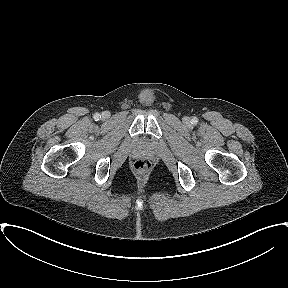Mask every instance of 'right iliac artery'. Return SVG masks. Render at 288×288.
Listing matches in <instances>:
<instances>
[{"label": "right iliac artery", "instance_id": "obj_1", "mask_svg": "<svg viewBox=\"0 0 288 288\" xmlns=\"http://www.w3.org/2000/svg\"><path fill=\"white\" fill-rule=\"evenodd\" d=\"M101 118V115L100 114H98V113H96L95 115H94V119L97 121V120H99Z\"/></svg>", "mask_w": 288, "mask_h": 288}]
</instances>
